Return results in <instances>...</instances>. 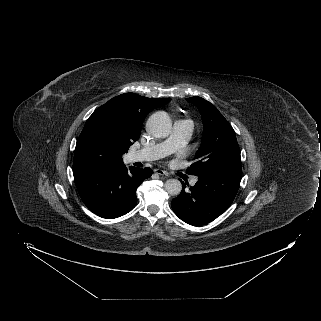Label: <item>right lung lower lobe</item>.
<instances>
[{
	"instance_id": "1",
	"label": "right lung lower lobe",
	"mask_w": 321,
	"mask_h": 321,
	"mask_svg": "<svg viewBox=\"0 0 321 321\" xmlns=\"http://www.w3.org/2000/svg\"><path fill=\"white\" fill-rule=\"evenodd\" d=\"M80 197L89 210L100 217L113 219L131 211L136 190L152 175L151 168L130 167L122 163L73 173Z\"/></svg>"
}]
</instances>
